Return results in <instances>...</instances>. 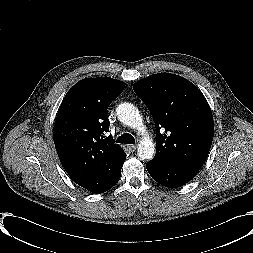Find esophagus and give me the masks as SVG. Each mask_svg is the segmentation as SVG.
I'll list each match as a JSON object with an SVG mask.
<instances>
[{
  "mask_svg": "<svg viewBox=\"0 0 253 253\" xmlns=\"http://www.w3.org/2000/svg\"><path fill=\"white\" fill-rule=\"evenodd\" d=\"M128 149L130 150V152H135L137 149V146L136 145H129Z\"/></svg>",
  "mask_w": 253,
  "mask_h": 253,
  "instance_id": "1",
  "label": "esophagus"
}]
</instances>
